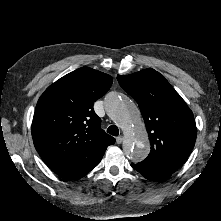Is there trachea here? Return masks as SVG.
Here are the masks:
<instances>
[{
  "label": "trachea",
  "instance_id": "obj_1",
  "mask_svg": "<svg viewBox=\"0 0 221 221\" xmlns=\"http://www.w3.org/2000/svg\"><path fill=\"white\" fill-rule=\"evenodd\" d=\"M107 132L113 136L119 135V129L116 125H111L108 127Z\"/></svg>",
  "mask_w": 221,
  "mask_h": 221
}]
</instances>
